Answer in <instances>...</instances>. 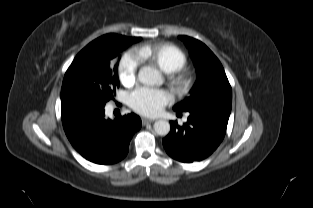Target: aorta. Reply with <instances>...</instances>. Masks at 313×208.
<instances>
[{
    "mask_svg": "<svg viewBox=\"0 0 313 208\" xmlns=\"http://www.w3.org/2000/svg\"><path fill=\"white\" fill-rule=\"evenodd\" d=\"M138 80L144 85H160L162 77L160 73L150 66H143L138 73ZM154 131L160 136H166L170 132V124L166 120H158L153 125Z\"/></svg>",
    "mask_w": 313,
    "mask_h": 208,
    "instance_id": "762f6f07",
    "label": "aorta"
}]
</instances>
